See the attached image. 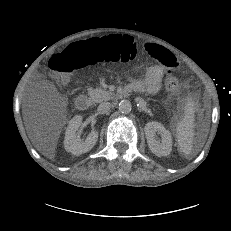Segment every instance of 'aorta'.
Returning a JSON list of instances; mask_svg holds the SVG:
<instances>
[{"label": "aorta", "mask_w": 231, "mask_h": 231, "mask_svg": "<svg viewBox=\"0 0 231 231\" xmlns=\"http://www.w3.org/2000/svg\"><path fill=\"white\" fill-rule=\"evenodd\" d=\"M119 110L125 114L130 113L132 110L131 102L129 100H121L119 103Z\"/></svg>", "instance_id": "obj_1"}]
</instances>
